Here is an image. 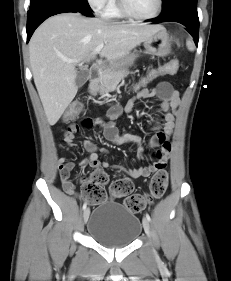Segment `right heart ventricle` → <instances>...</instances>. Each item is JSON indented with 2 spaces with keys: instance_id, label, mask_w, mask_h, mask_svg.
I'll return each mask as SVG.
<instances>
[{
  "instance_id": "right-heart-ventricle-1",
  "label": "right heart ventricle",
  "mask_w": 231,
  "mask_h": 281,
  "mask_svg": "<svg viewBox=\"0 0 231 281\" xmlns=\"http://www.w3.org/2000/svg\"><path fill=\"white\" fill-rule=\"evenodd\" d=\"M103 16L106 19H120L123 17L121 14L116 0H111L109 6L103 12Z\"/></svg>"
}]
</instances>
